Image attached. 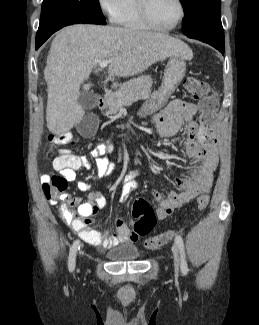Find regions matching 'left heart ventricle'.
<instances>
[{
    "label": "left heart ventricle",
    "instance_id": "1",
    "mask_svg": "<svg viewBox=\"0 0 259 325\" xmlns=\"http://www.w3.org/2000/svg\"><path fill=\"white\" fill-rule=\"evenodd\" d=\"M148 10L152 21L161 27L171 26L179 16L176 0H149Z\"/></svg>",
    "mask_w": 259,
    "mask_h": 325
}]
</instances>
